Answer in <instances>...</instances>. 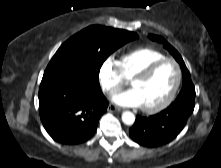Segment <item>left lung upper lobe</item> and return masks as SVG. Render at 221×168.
<instances>
[{
  "label": "left lung upper lobe",
  "instance_id": "5c2ea615",
  "mask_svg": "<svg viewBox=\"0 0 221 168\" xmlns=\"http://www.w3.org/2000/svg\"><path fill=\"white\" fill-rule=\"evenodd\" d=\"M149 38L153 41H158L163 43L164 47L173 55L176 61H178V63L180 64L183 73V86L179 94H185V93L195 94V88L191 81L190 73L180 54L164 38L156 35H149Z\"/></svg>",
  "mask_w": 221,
  "mask_h": 168
}]
</instances>
